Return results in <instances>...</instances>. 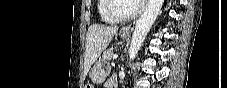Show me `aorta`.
Here are the masks:
<instances>
[{
	"instance_id": "762f6f07",
	"label": "aorta",
	"mask_w": 227,
	"mask_h": 88,
	"mask_svg": "<svg viewBox=\"0 0 227 88\" xmlns=\"http://www.w3.org/2000/svg\"><path fill=\"white\" fill-rule=\"evenodd\" d=\"M164 0H148L146 8L138 19L132 35L129 48V58L134 60L142 46V43L149 32L152 24L156 20Z\"/></svg>"
}]
</instances>
